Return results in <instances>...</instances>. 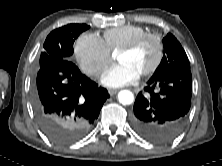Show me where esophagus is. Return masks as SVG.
Here are the masks:
<instances>
[{"label": "esophagus", "instance_id": "obj_1", "mask_svg": "<svg viewBox=\"0 0 222 166\" xmlns=\"http://www.w3.org/2000/svg\"><path fill=\"white\" fill-rule=\"evenodd\" d=\"M108 92L110 95H114L118 92V89H109Z\"/></svg>", "mask_w": 222, "mask_h": 166}]
</instances>
